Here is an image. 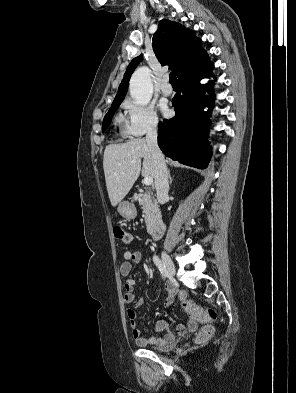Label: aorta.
I'll list each match as a JSON object with an SVG mask.
<instances>
[{
	"instance_id": "1",
	"label": "aorta",
	"mask_w": 296,
	"mask_h": 393,
	"mask_svg": "<svg viewBox=\"0 0 296 393\" xmlns=\"http://www.w3.org/2000/svg\"><path fill=\"white\" fill-rule=\"evenodd\" d=\"M129 91L132 99L138 105H147L153 94L150 70L147 67L138 68L130 79Z\"/></svg>"
}]
</instances>
